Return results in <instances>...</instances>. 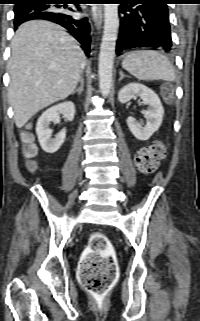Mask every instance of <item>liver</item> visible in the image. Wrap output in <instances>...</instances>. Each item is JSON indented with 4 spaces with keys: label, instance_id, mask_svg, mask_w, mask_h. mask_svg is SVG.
Returning a JSON list of instances; mask_svg holds the SVG:
<instances>
[{
    "label": "liver",
    "instance_id": "liver-1",
    "mask_svg": "<svg viewBox=\"0 0 200 321\" xmlns=\"http://www.w3.org/2000/svg\"><path fill=\"white\" fill-rule=\"evenodd\" d=\"M85 56L78 42L56 24H22L11 43L8 98L18 128L41 109L68 97L76 88Z\"/></svg>",
    "mask_w": 200,
    "mask_h": 321
}]
</instances>
